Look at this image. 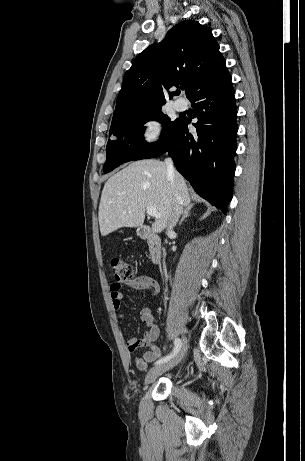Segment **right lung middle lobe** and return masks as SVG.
I'll list each match as a JSON object with an SVG mask.
<instances>
[{
  "label": "right lung middle lobe",
  "mask_w": 305,
  "mask_h": 461,
  "mask_svg": "<svg viewBox=\"0 0 305 461\" xmlns=\"http://www.w3.org/2000/svg\"><path fill=\"white\" fill-rule=\"evenodd\" d=\"M151 120L159 121L163 125L160 140L153 144L146 143L143 137V124ZM178 122L179 119L170 121V118L164 115L161 112V107H159L128 117L112 125L110 134L117 136L118 140H109L107 143L104 173L112 171L122 163L149 158L163 147Z\"/></svg>",
  "instance_id": "right-lung-middle-lobe-1"
}]
</instances>
